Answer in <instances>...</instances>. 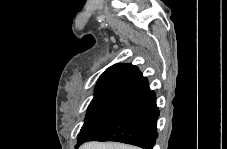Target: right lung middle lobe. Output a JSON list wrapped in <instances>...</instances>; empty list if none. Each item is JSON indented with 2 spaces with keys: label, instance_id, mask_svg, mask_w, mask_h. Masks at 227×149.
Instances as JSON below:
<instances>
[{
  "label": "right lung middle lobe",
  "instance_id": "obj_1",
  "mask_svg": "<svg viewBox=\"0 0 227 149\" xmlns=\"http://www.w3.org/2000/svg\"><path fill=\"white\" fill-rule=\"evenodd\" d=\"M138 89L109 87L95 92L88 106L84 124L78 135L76 148L101 125L115 118L138 94Z\"/></svg>",
  "mask_w": 227,
  "mask_h": 149
}]
</instances>
